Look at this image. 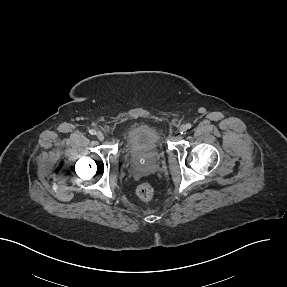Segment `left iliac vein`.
<instances>
[{
    "label": "left iliac vein",
    "mask_w": 287,
    "mask_h": 287,
    "mask_svg": "<svg viewBox=\"0 0 287 287\" xmlns=\"http://www.w3.org/2000/svg\"><path fill=\"white\" fill-rule=\"evenodd\" d=\"M180 131H181V133H185L187 131L186 125H181Z\"/></svg>",
    "instance_id": "obj_1"
}]
</instances>
